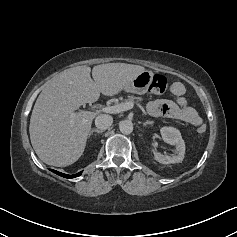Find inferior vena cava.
Segmentation results:
<instances>
[{
	"label": "inferior vena cava",
	"mask_w": 237,
	"mask_h": 237,
	"mask_svg": "<svg viewBox=\"0 0 237 237\" xmlns=\"http://www.w3.org/2000/svg\"><path fill=\"white\" fill-rule=\"evenodd\" d=\"M113 118L107 114H100L95 119V125L100 130H105L112 125Z\"/></svg>",
	"instance_id": "1"
}]
</instances>
